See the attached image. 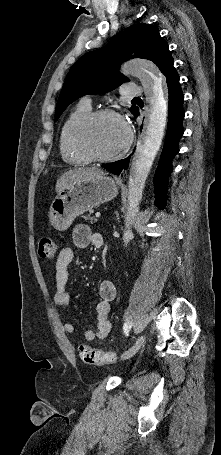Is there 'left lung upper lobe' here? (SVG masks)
I'll use <instances>...</instances> for the list:
<instances>
[{
  "instance_id": "1",
  "label": "left lung upper lobe",
  "mask_w": 221,
  "mask_h": 455,
  "mask_svg": "<svg viewBox=\"0 0 221 455\" xmlns=\"http://www.w3.org/2000/svg\"><path fill=\"white\" fill-rule=\"evenodd\" d=\"M133 58L151 60L162 73L174 63L168 44L156 27L134 25L103 48L83 55L70 68L57 102L55 120L76 99L86 94L109 92L128 81L118 68L122 62ZM137 110L136 106L130 109L133 115Z\"/></svg>"
}]
</instances>
